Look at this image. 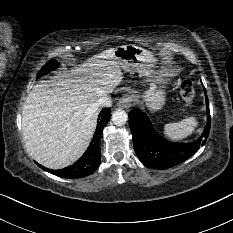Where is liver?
I'll list each match as a JSON object with an SVG mask.
<instances>
[{
	"instance_id": "1",
	"label": "liver",
	"mask_w": 233,
	"mask_h": 233,
	"mask_svg": "<svg viewBox=\"0 0 233 233\" xmlns=\"http://www.w3.org/2000/svg\"><path fill=\"white\" fill-rule=\"evenodd\" d=\"M70 71L35 85L22 111L25 149L51 169L67 167L82 156L97 124L96 101L110 96L123 79L114 48Z\"/></svg>"
}]
</instances>
